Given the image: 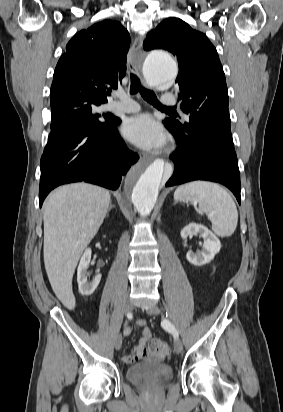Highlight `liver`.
<instances>
[{
	"mask_svg": "<svg viewBox=\"0 0 283 412\" xmlns=\"http://www.w3.org/2000/svg\"><path fill=\"white\" fill-rule=\"evenodd\" d=\"M110 202L106 189L86 183L61 186L45 201V269L55 295L68 309L75 307V268L103 223Z\"/></svg>",
	"mask_w": 283,
	"mask_h": 412,
	"instance_id": "6515ba94",
	"label": "liver"
}]
</instances>
